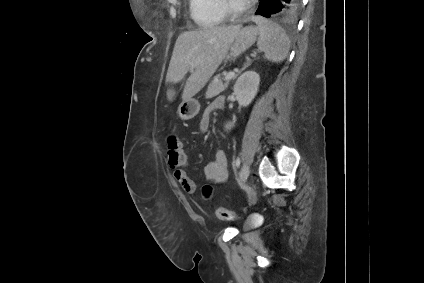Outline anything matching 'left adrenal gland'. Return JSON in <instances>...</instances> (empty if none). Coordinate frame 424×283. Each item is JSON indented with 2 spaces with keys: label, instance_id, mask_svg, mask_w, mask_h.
I'll return each instance as SVG.
<instances>
[{
  "label": "left adrenal gland",
  "instance_id": "a2214340",
  "mask_svg": "<svg viewBox=\"0 0 424 283\" xmlns=\"http://www.w3.org/2000/svg\"><path fill=\"white\" fill-rule=\"evenodd\" d=\"M250 64H251V62L247 63V65H245V66H244V67L240 70V72H241V71H243L244 69H246V67H248ZM240 72H239V73H240ZM237 75H238V74H236V75L234 76V78H236V77H237Z\"/></svg>",
  "mask_w": 424,
  "mask_h": 283
}]
</instances>
